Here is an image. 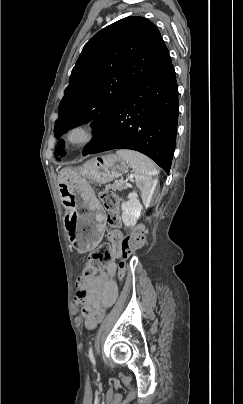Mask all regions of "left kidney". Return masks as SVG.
Listing matches in <instances>:
<instances>
[{
	"instance_id": "5707ae66",
	"label": "left kidney",
	"mask_w": 243,
	"mask_h": 404,
	"mask_svg": "<svg viewBox=\"0 0 243 404\" xmlns=\"http://www.w3.org/2000/svg\"><path fill=\"white\" fill-rule=\"evenodd\" d=\"M121 210L123 224H125L127 228L135 226L138 218H140L141 210H143V206L140 204V200H138V194H136V192H131V194H128V200L127 202H123V204H121Z\"/></svg>"
}]
</instances>
